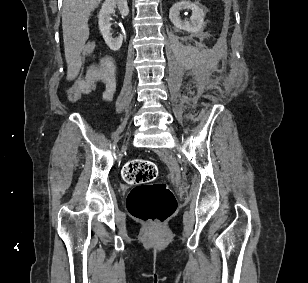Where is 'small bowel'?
<instances>
[{
    "instance_id": "1",
    "label": "small bowel",
    "mask_w": 308,
    "mask_h": 283,
    "mask_svg": "<svg viewBox=\"0 0 308 283\" xmlns=\"http://www.w3.org/2000/svg\"><path fill=\"white\" fill-rule=\"evenodd\" d=\"M83 60L81 57L75 58L69 65L68 74L71 78L76 77ZM104 83L106 90L104 96L110 100L116 90L115 68L113 62L109 58H103L97 63L87 67L84 83L91 92L98 83Z\"/></svg>"
}]
</instances>
